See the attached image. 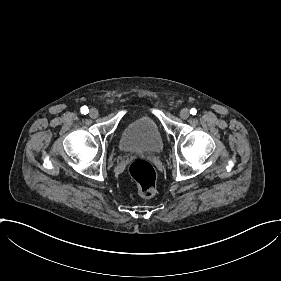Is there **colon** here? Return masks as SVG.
<instances>
[{
    "mask_svg": "<svg viewBox=\"0 0 281 281\" xmlns=\"http://www.w3.org/2000/svg\"><path fill=\"white\" fill-rule=\"evenodd\" d=\"M129 177L143 194H151L157 187V176L152 165L144 159H134L128 168Z\"/></svg>",
    "mask_w": 281,
    "mask_h": 281,
    "instance_id": "1",
    "label": "colon"
}]
</instances>
